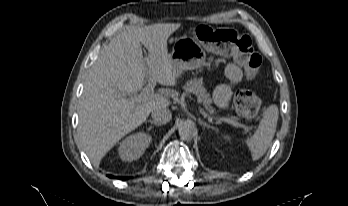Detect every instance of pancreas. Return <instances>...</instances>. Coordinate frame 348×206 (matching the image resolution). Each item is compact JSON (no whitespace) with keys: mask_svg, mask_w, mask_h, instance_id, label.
Returning <instances> with one entry per match:
<instances>
[{"mask_svg":"<svg viewBox=\"0 0 348 206\" xmlns=\"http://www.w3.org/2000/svg\"><path fill=\"white\" fill-rule=\"evenodd\" d=\"M183 88L186 92H192L193 94H195L198 97L199 101L203 103L204 107L209 112H213V108L211 107V103H212L211 96L207 92L206 88L203 86L202 82L199 79H193L186 82ZM231 120L235 122L236 124H238L239 126V123L236 120L234 119H231Z\"/></svg>","mask_w":348,"mask_h":206,"instance_id":"obj_1","label":"pancreas"}]
</instances>
